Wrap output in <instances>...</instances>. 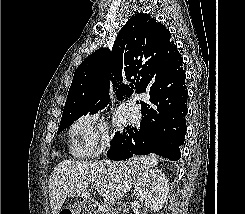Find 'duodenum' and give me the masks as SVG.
I'll return each instance as SVG.
<instances>
[{"label":"duodenum","mask_w":245,"mask_h":214,"mask_svg":"<svg viewBox=\"0 0 245 214\" xmlns=\"http://www.w3.org/2000/svg\"><path fill=\"white\" fill-rule=\"evenodd\" d=\"M86 209L90 214H100L103 209L95 200L88 199L85 201ZM107 214H129L128 210L120 205H110L107 209Z\"/></svg>","instance_id":"410a0bca"}]
</instances>
